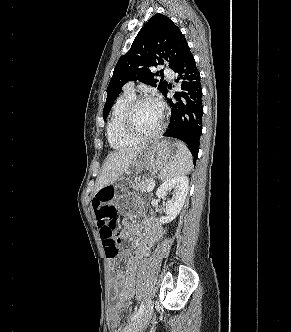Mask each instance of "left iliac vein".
<instances>
[{
  "mask_svg": "<svg viewBox=\"0 0 291 332\" xmlns=\"http://www.w3.org/2000/svg\"><path fill=\"white\" fill-rule=\"evenodd\" d=\"M153 311V301L149 300L143 313L130 324L126 325L121 332H139L149 321Z\"/></svg>",
  "mask_w": 291,
  "mask_h": 332,
  "instance_id": "1",
  "label": "left iliac vein"
}]
</instances>
